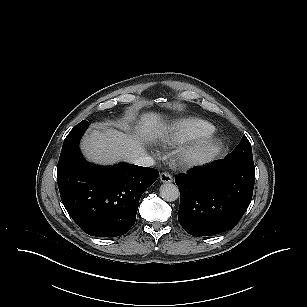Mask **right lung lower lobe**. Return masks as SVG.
Wrapping results in <instances>:
<instances>
[{"mask_svg": "<svg viewBox=\"0 0 307 307\" xmlns=\"http://www.w3.org/2000/svg\"><path fill=\"white\" fill-rule=\"evenodd\" d=\"M81 137L63 144L57 165L61 200L87 234L116 237L134 225L143 192L158 178L157 169L128 163L100 167L80 154Z\"/></svg>", "mask_w": 307, "mask_h": 307, "instance_id": "obj_1", "label": "right lung lower lobe"}]
</instances>
